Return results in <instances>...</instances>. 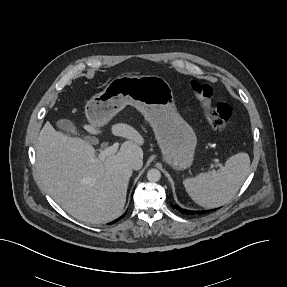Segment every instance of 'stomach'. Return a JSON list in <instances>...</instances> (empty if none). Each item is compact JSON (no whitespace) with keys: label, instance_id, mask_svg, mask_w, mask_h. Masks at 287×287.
<instances>
[{"label":"stomach","instance_id":"1","mask_svg":"<svg viewBox=\"0 0 287 287\" xmlns=\"http://www.w3.org/2000/svg\"><path fill=\"white\" fill-rule=\"evenodd\" d=\"M126 105L135 107L149 122L164 161L178 171L191 166L197 138L177 112L172 88L164 78L119 76L87 103L85 113L91 124L102 126Z\"/></svg>","mask_w":287,"mask_h":287}]
</instances>
